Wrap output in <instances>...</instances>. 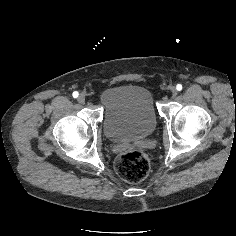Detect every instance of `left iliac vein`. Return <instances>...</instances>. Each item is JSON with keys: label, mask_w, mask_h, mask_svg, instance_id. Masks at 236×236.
<instances>
[{"label": "left iliac vein", "mask_w": 236, "mask_h": 236, "mask_svg": "<svg viewBox=\"0 0 236 236\" xmlns=\"http://www.w3.org/2000/svg\"><path fill=\"white\" fill-rule=\"evenodd\" d=\"M170 90H171V93H172V97L176 98L177 97V90L175 89V87H171Z\"/></svg>", "instance_id": "left-iliac-vein-1"}]
</instances>
